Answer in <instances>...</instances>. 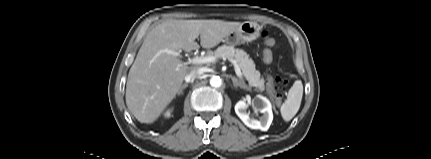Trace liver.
<instances>
[{
	"label": "liver",
	"instance_id": "1",
	"mask_svg": "<svg viewBox=\"0 0 431 159\" xmlns=\"http://www.w3.org/2000/svg\"><path fill=\"white\" fill-rule=\"evenodd\" d=\"M239 22L223 20H167L144 39L130 68L126 84V105L141 123H153L179 93L184 77L197 66H187L165 50L190 52L200 45L217 46Z\"/></svg>",
	"mask_w": 431,
	"mask_h": 159
}]
</instances>
